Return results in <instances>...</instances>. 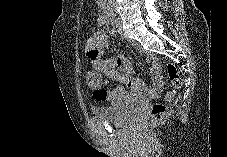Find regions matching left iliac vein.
Segmentation results:
<instances>
[{
  "label": "left iliac vein",
  "instance_id": "4c4485c4",
  "mask_svg": "<svg viewBox=\"0 0 227 157\" xmlns=\"http://www.w3.org/2000/svg\"><path fill=\"white\" fill-rule=\"evenodd\" d=\"M118 29H119V32L122 33V27L120 23H118Z\"/></svg>",
  "mask_w": 227,
  "mask_h": 157
}]
</instances>
